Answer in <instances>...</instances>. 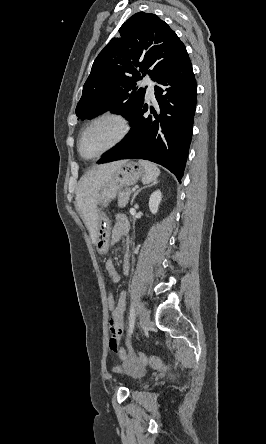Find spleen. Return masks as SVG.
<instances>
[{
    "mask_svg": "<svg viewBox=\"0 0 266 444\" xmlns=\"http://www.w3.org/2000/svg\"><path fill=\"white\" fill-rule=\"evenodd\" d=\"M139 164L143 167L145 175L143 177V182L149 183L155 181L160 174L159 168L152 162L146 160H139Z\"/></svg>",
    "mask_w": 266,
    "mask_h": 444,
    "instance_id": "3e777b00",
    "label": "spleen"
}]
</instances>
